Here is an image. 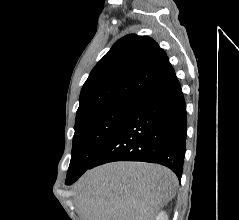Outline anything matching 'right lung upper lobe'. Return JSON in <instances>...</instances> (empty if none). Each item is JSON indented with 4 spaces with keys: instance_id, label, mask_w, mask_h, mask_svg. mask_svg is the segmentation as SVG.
<instances>
[{
    "instance_id": "1",
    "label": "right lung upper lobe",
    "mask_w": 239,
    "mask_h": 220,
    "mask_svg": "<svg viewBox=\"0 0 239 220\" xmlns=\"http://www.w3.org/2000/svg\"><path fill=\"white\" fill-rule=\"evenodd\" d=\"M172 73L166 53L153 39L124 36L96 64L84 83L76 120L112 106L132 104Z\"/></svg>"
}]
</instances>
